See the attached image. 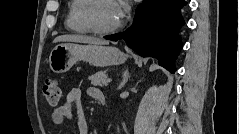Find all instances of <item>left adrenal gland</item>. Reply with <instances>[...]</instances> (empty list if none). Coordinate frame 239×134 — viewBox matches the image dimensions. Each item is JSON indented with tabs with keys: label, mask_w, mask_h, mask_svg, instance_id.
<instances>
[{
	"label": "left adrenal gland",
	"mask_w": 239,
	"mask_h": 134,
	"mask_svg": "<svg viewBox=\"0 0 239 134\" xmlns=\"http://www.w3.org/2000/svg\"><path fill=\"white\" fill-rule=\"evenodd\" d=\"M122 81L120 82L119 86H118V89H121L124 87V85L128 82L129 78H130V75H129V72H128V69H126L124 72H123V76H122Z\"/></svg>",
	"instance_id": "a2214340"
}]
</instances>
